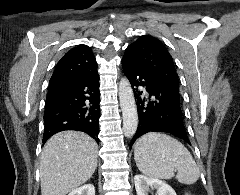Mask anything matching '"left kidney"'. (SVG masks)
<instances>
[{"label": "left kidney", "mask_w": 240, "mask_h": 195, "mask_svg": "<svg viewBox=\"0 0 240 195\" xmlns=\"http://www.w3.org/2000/svg\"><path fill=\"white\" fill-rule=\"evenodd\" d=\"M135 189L137 195H147V191L157 189L156 195H177L173 187L169 183H165L162 179H155V177H147V175H134Z\"/></svg>", "instance_id": "left-kidney-1"}]
</instances>
